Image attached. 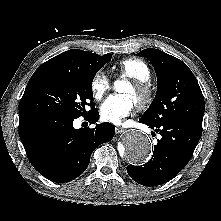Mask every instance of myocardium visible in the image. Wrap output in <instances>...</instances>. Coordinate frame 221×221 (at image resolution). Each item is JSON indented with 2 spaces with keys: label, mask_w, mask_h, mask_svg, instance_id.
<instances>
[{
  "label": "myocardium",
  "mask_w": 221,
  "mask_h": 221,
  "mask_svg": "<svg viewBox=\"0 0 221 221\" xmlns=\"http://www.w3.org/2000/svg\"><path fill=\"white\" fill-rule=\"evenodd\" d=\"M130 84L138 92L139 96L135 102L138 109H145L153 101V90L146 81L131 80Z\"/></svg>",
  "instance_id": "f54148a6"
}]
</instances>
